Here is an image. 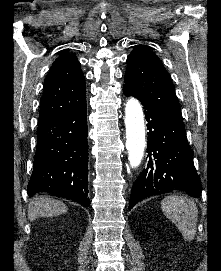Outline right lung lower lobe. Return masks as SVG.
<instances>
[{"mask_svg": "<svg viewBox=\"0 0 221 271\" xmlns=\"http://www.w3.org/2000/svg\"><path fill=\"white\" fill-rule=\"evenodd\" d=\"M28 196L46 192L90 206L87 106L38 122Z\"/></svg>", "mask_w": 221, "mask_h": 271, "instance_id": "98d812e1", "label": "right lung lower lobe"}]
</instances>
